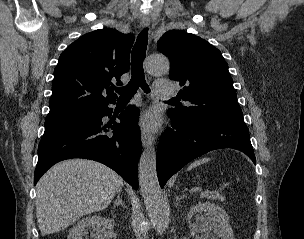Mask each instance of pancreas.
<instances>
[{
	"label": "pancreas",
	"mask_w": 304,
	"mask_h": 239,
	"mask_svg": "<svg viewBox=\"0 0 304 239\" xmlns=\"http://www.w3.org/2000/svg\"><path fill=\"white\" fill-rule=\"evenodd\" d=\"M212 199L213 200H221V197L220 196H212Z\"/></svg>",
	"instance_id": "obj_1"
}]
</instances>
